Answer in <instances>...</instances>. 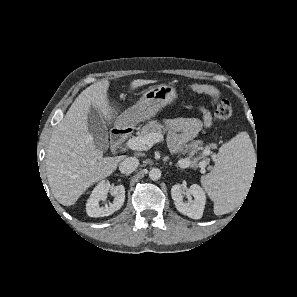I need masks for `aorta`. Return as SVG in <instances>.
<instances>
[{
  "label": "aorta",
  "mask_w": 297,
  "mask_h": 297,
  "mask_svg": "<svg viewBox=\"0 0 297 297\" xmlns=\"http://www.w3.org/2000/svg\"><path fill=\"white\" fill-rule=\"evenodd\" d=\"M161 171L158 168H152L149 172V178L153 181L160 179Z\"/></svg>",
  "instance_id": "762f6f07"
}]
</instances>
